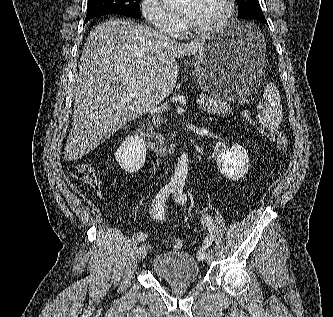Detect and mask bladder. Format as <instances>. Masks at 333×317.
Wrapping results in <instances>:
<instances>
[{
	"label": "bladder",
	"instance_id": "1",
	"mask_svg": "<svg viewBox=\"0 0 333 317\" xmlns=\"http://www.w3.org/2000/svg\"><path fill=\"white\" fill-rule=\"evenodd\" d=\"M151 268L159 279L172 285L190 284L200 277L197 260L185 251L159 253L154 256Z\"/></svg>",
	"mask_w": 333,
	"mask_h": 317
}]
</instances>
